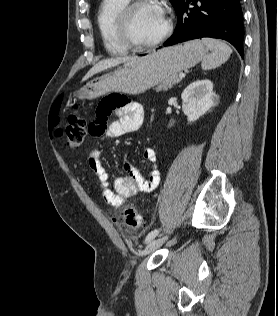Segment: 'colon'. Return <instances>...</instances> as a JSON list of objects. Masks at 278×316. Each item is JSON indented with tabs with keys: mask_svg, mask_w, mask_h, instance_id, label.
<instances>
[{
	"mask_svg": "<svg viewBox=\"0 0 278 316\" xmlns=\"http://www.w3.org/2000/svg\"><path fill=\"white\" fill-rule=\"evenodd\" d=\"M90 133H97L98 131L89 128ZM87 132V121L77 111L70 114L68 117V124L64 131L58 133L59 136L65 137V144L70 149L80 147L85 139ZM125 225L130 229H138L143 225V218L141 214L133 206H128L122 215Z\"/></svg>",
	"mask_w": 278,
	"mask_h": 316,
	"instance_id": "1",
	"label": "colon"
}]
</instances>
